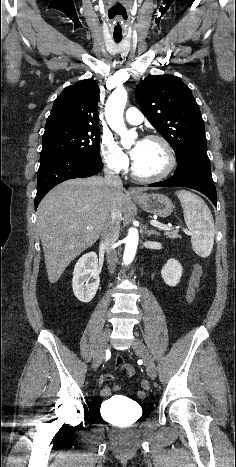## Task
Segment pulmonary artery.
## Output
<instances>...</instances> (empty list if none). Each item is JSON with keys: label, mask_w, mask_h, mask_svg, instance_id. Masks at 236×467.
<instances>
[{"label": "pulmonary artery", "mask_w": 236, "mask_h": 467, "mask_svg": "<svg viewBox=\"0 0 236 467\" xmlns=\"http://www.w3.org/2000/svg\"><path fill=\"white\" fill-rule=\"evenodd\" d=\"M125 118L128 123L137 125L142 123L144 117L143 114L137 108L131 107L126 110Z\"/></svg>", "instance_id": "e3ab8cb5"}]
</instances>
